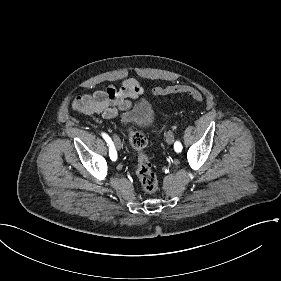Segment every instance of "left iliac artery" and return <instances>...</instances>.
I'll list each match as a JSON object with an SVG mask.
<instances>
[{
  "label": "left iliac artery",
  "mask_w": 281,
  "mask_h": 281,
  "mask_svg": "<svg viewBox=\"0 0 281 281\" xmlns=\"http://www.w3.org/2000/svg\"><path fill=\"white\" fill-rule=\"evenodd\" d=\"M174 149L176 152H180L182 150V145L180 142H175Z\"/></svg>",
  "instance_id": "1"
}]
</instances>
